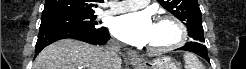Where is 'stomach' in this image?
Returning <instances> with one entry per match:
<instances>
[{
    "instance_id": "obj_1",
    "label": "stomach",
    "mask_w": 246,
    "mask_h": 69,
    "mask_svg": "<svg viewBox=\"0 0 246 69\" xmlns=\"http://www.w3.org/2000/svg\"><path fill=\"white\" fill-rule=\"evenodd\" d=\"M134 69H180L179 66L166 56L158 57L152 61L143 60L140 63H132Z\"/></svg>"
}]
</instances>
